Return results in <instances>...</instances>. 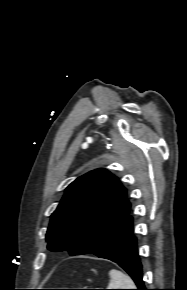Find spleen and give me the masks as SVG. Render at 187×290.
<instances>
[{"label":"spleen","mask_w":187,"mask_h":290,"mask_svg":"<svg viewBox=\"0 0 187 290\" xmlns=\"http://www.w3.org/2000/svg\"><path fill=\"white\" fill-rule=\"evenodd\" d=\"M110 282L108 289H134L135 284L132 279L119 270L112 269L109 272Z\"/></svg>","instance_id":"1"}]
</instances>
